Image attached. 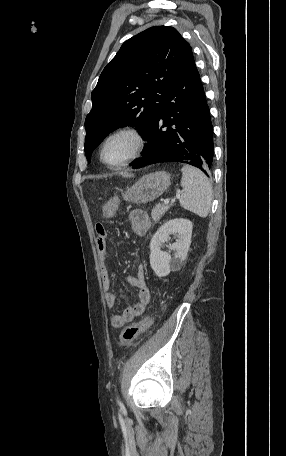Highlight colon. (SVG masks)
Here are the masks:
<instances>
[{
  "label": "colon",
  "instance_id": "obj_1",
  "mask_svg": "<svg viewBox=\"0 0 286 456\" xmlns=\"http://www.w3.org/2000/svg\"><path fill=\"white\" fill-rule=\"evenodd\" d=\"M115 203V201L111 202ZM153 323V317H147L142 321L126 327L120 335V343L128 345L138 339Z\"/></svg>",
  "mask_w": 286,
  "mask_h": 456
}]
</instances>
